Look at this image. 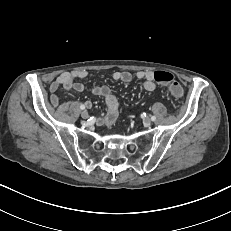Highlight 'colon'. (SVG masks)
Wrapping results in <instances>:
<instances>
[{"mask_svg":"<svg viewBox=\"0 0 231 231\" xmlns=\"http://www.w3.org/2000/svg\"><path fill=\"white\" fill-rule=\"evenodd\" d=\"M153 79L155 82L168 85L169 91L173 96L180 97L183 94V89L181 85L174 81V76L168 71H155L153 72Z\"/></svg>","mask_w":231,"mask_h":231,"instance_id":"colon-1","label":"colon"}]
</instances>
